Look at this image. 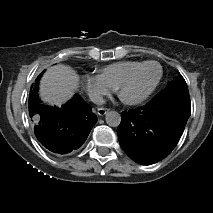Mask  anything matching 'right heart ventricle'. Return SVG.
Segmentation results:
<instances>
[{
  "label": "right heart ventricle",
  "mask_w": 213,
  "mask_h": 213,
  "mask_svg": "<svg viewBox=\"0 0 213 213\" xmlns=\"http://www.w3.org/2000/svg\"><path fill=\"white\" fill-rule=\"evenodd\" d=\"M140 61H119L104 66L99 70V75L113 88L117 89L121 80L138 64Z\"/></svg>",
  "instance_id": "obj_1"
}]
</instances>
